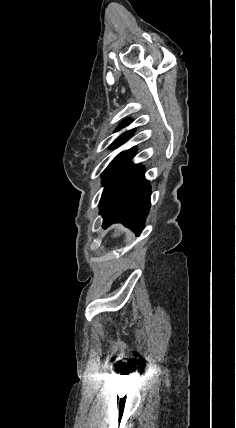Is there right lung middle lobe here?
Masks as SVG:
<instances>
[{"label":"right lung middle lobe","mask_w":236,"mask_h":428,"mask_svg":"<svg viewBox=\"0 0 236 428\" xmlns=\"http://www.w3.org/2000/svg\"><path fill=\"white\" fill-rule=\"evenodd\" d=\"M135 149H129L120 153L103 172L104 191L103 198L116 184H118L129 170L134 166L131 162L135 156Z\"/></svg>","instance_id":"right-lung-middle-lobe-1"}]
</instances>
